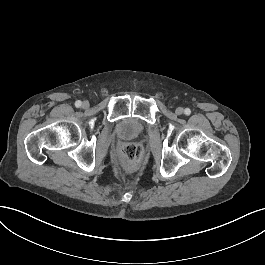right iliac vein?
<instances>
[{
	"instance_id": "right-iliac-vein-1",
	"label": "right iliac vein",
	"mask_w": 265,
	"mask_h": 265,
	"mask_svg": "<svg viewBox=\"0 0 265 265\" xmlns=\"http://www.w3.org/2000/svg\"><path fill=\"white\" fill-rule=\"evenodd\" d=\"M82 107L85 109V108H88L89 107V102L88 101H84L82 103Z\"/></svg>"
}]
</instances>
